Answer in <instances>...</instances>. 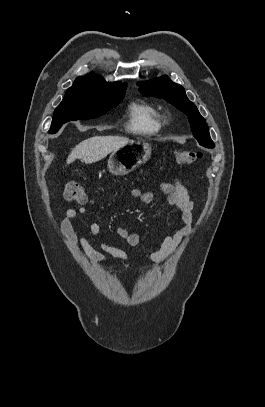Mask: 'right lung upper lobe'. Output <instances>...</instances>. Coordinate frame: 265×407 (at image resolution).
Returning a JSON list of instances; mask_svg holds the SVG:
<instances>
[{"instance_id": "right-lung-upper-lobe-1", "label": "right lung upper lobe", "mask_w": 265, "mask_h": 407, "mask_svg": "<svg viewBox=\"0 0 265 407\" xmlns=\"http://www.w3.org/2000/svg\"><path fill=\"white\" fill-rule=\"evenodd\" d=\"M91 82V83H96V84H100V85H107V86H111L110 83H107L102 77L94 74V73H90L89 76H85V77H78L75 80L76 82ZM122 85H127L126 83L120 84V82H116L114 86H122Z\"/></svg>"}]
</instances>
